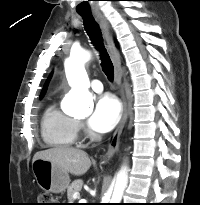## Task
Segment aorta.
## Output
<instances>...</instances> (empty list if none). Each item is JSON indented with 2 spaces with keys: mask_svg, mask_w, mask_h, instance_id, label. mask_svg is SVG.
<instances>
[{
  "mask_svg": "<svg viewBox=\"0 0 200 205\" xmlns=\"http://www.w3.org/2000/svg\"><path fill=\"white\" fill-rule=\"evenodd\" d=\"M90 52L79 50L72 53L65 61V73L71 91L68 95L69 109L72 113L88 116L93 111V98L89 92L90 82L85 71V63L90 58ZM127 165H124L117 175L115 187L111 196L104 197L102 203L119 204L128 184Z\"/></svg>",
  "mask_w": 200,
  "mask_h": 205,
  "instance_id": "1",
  "label": "aorta"
}]
</instances>
